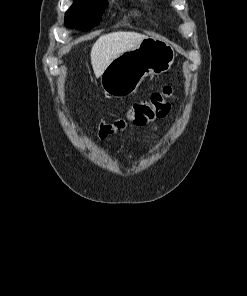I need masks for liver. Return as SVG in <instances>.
<instances>
[{
	"label": "liver",
	"instance_id": "obj_1",
	"mask_svg": "<svg viewBox=\"0 0 247 296\" xmlns=\"http://www.w3.org/2000/svg\"><path fill=\"white\" fill-rule=\"evenodd\" d=\"M147 38L135 32H113L100 36L91 49V64L97 78L101 77L108 65L120 56L137 46Z\"/></svg>",
	"mask_w": 247,
	"mask_h": 296
}]
</instances>
